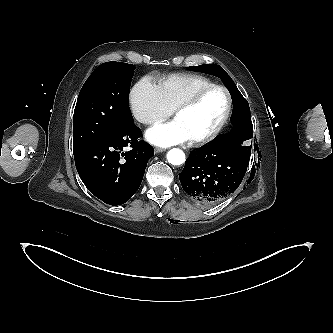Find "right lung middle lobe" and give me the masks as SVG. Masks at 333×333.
Listing matches in <instances>:
<instances>
[{
  "label": "right lung middle lobe",
  "instance_id": "obj_1",
  "mask_svg": "<svg viewBox=\"0 0 333 333\" xmlns=\"http://www.w3.org/2000/svg\"><path fill=\"white\" fill-rule=\"evenodd\" d=\"M135 66L106 62L83 85L73 116L74 154L119 133L133 122L128 105Z\"/></svg>",
  "mask_w": 333,
  "mask_h": 333
}]
</instances>
